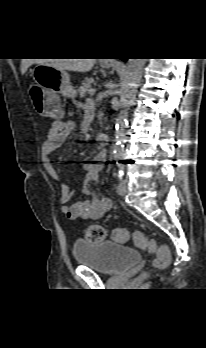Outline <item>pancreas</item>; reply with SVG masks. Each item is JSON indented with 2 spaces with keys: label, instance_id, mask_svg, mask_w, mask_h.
Listing matches in <instances>:
<instances>
[{
  "label": "pancreas",
  "instance_id": "pancreas-1",
  "mask_svg": "<svg viewBox=\"0 0 206 348\" xmlns=\"http://www.w3.org/2000/svg\"><path fill=\"white\" fill-rule=\"evenodd\" d=\"M91 83H92V79L91 78H86L83 82L82 85L80 86V88L78 89V92L80 94L81 97H85L87 94L90 93L91 90ZM103 118V114L99 113L98 115V119L100 120V123L102 121Z\"/></svg>",
  "mask_w": 206,
  "mask_h": 348
}]
</instances>
